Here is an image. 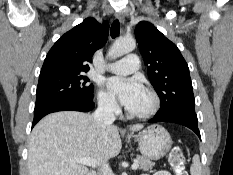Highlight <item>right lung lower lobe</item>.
Wrapping results in <instances>:
<instances>
[{"label":"right lung lower lobe","instance_id":"1","mask_svg":"<svg viewBox=\"0 0 233 175\" xmlns=\"http://www.w3.org/2000/svg\"><path fill=\"white\" fill-rule=\"evenodd\" d=\"M95 104L91 101H67V100H59V101H49L42 103L38 106H35L34 109V120L32 123V127L45 115L57 111H65V110H73V111H81L88 112L94 108Z\"/></svg>","mask_w":233,"mask_h":175}]
</instances>
